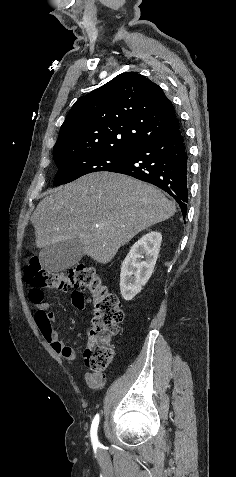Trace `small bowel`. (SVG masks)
Listing matches in <instances>:
<instances>
[{"label": "small bowel", "instance_id": "obj_1", "mask_svg": "<svg viewBox=\"0 0 236 477\" xmlns=\"http://www.w3.org/2000/svg\"><path fill=\"white\" fill-rule=\"evenodd\" d=\"M72 301L78 309L83 310L86 308V302L82 294L73 295ZM33 303L37 306L34 321L42 337L51 345L55 352L62 355L69 363L74 362L78 358V352L61 341L58 332L53 327L56 315L50 309V305L44 302L43 299ZM85 380L90 386H96L102 382V376L98 373H89L85 375Z\"/></svg>", "mask_w": 236, "mask_h": 477}]
</instances>
